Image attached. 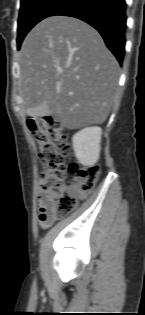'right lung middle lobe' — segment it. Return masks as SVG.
Segmentation results:
<instances>
[{
  "label": "right lung middle lobe",
  "instance_id": "right-lung-middle-lobe-1",
  "mask_svg": "<svg viewBox=\"0 0 145 315\" xmlns=\"http://www.w3.org/2000/svg\"><path fill=\"white\" fill-rule=\"evenodd\" d=\"M65 0H21L18 19L17 48L26 34L41 20L50 16Z\"/></svg>",
  "mask_w": 145,
  "mask_h": 315
}]
</instances>
